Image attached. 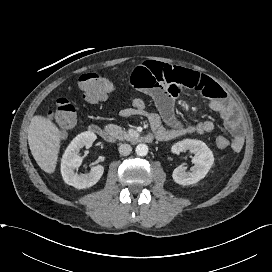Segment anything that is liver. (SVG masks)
Returning <instances> with one entry per match:
<instances>
[{
    "label": "liver",
    "instance_id": "liver-1",
    "mask_svg": "<svg viewBox=\"0 0 272 272\" xmlns=\"http://www.w3.org/2000/svg\"><path fill=\"white\" fill-rule=\"evenodd\" d=\"M61 132L48 118L36 115L31 119L28 129V143L31 153L46 173L56 169L60 149Z\"/></svg>",
    "mask_w": 272,
    "mask_h": 272
}]
</instances>
